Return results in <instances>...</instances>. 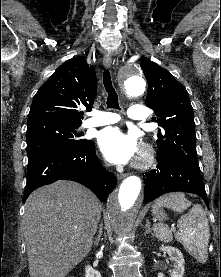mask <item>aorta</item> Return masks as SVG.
Here are the masks:
<instances>
[{"label":"aorta","mask_w":221,"mask_h":277,"mask_svg":"<svg viewBox=\"0 0 221 277\" xmlns=\"http://www.w3.org/2000/svg\"><path fill=\"white\" fill-rule=\"evenodd\" d=\"M123 92L129 97L140 96L145 92L146 82L142 71L128 66L120 73ZM141 179L127 177L107 200V212L115 232L121 237L131 234L137 212L141 204Z\"/></svg>","instance_id":"aorta-1"}]
</instances>
